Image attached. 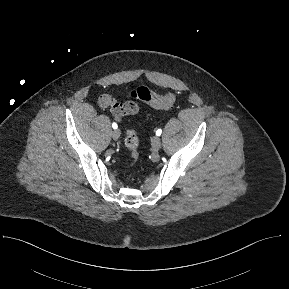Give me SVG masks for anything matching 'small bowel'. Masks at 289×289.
<instances>
[{
  "label": "small bowel",
  "mask_w": 289,
  "mask_h": 289,
  "mask_svg": "<svg viewBox=\"0 0 289 289\" xmlns=\"http://www.w3.org/2000/svg\"><path fill=\"white\" fill-rule=\"evenodd\" d=\"M98 105L103 109H109L118 121L125 116L137 115L139 112V106L134 100L120 102L108 93L100 95Z\"/></svg>",
  "instance_id": "c3829d8e"
}]
</instances>
